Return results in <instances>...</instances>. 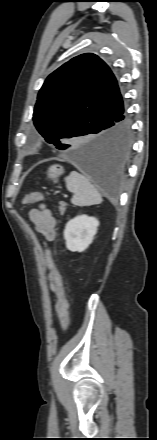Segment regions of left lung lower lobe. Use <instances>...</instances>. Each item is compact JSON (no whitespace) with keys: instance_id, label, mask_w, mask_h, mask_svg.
Wrapping results in <instances>:
<instances>
[{"instance_id":"0a47b994","label":"left lung lower lobe","mask_w":157,"mask_h":440,"mask_svg":"<svg viewBox=\"0 0 157 440\" xmlns=\"http://www.w3.org/2000/svg\"><path fill=\"white\" fill-rule=\"evenodd\" d=\"M95 134L97 137L89 144L68 145L63 150L101 189L113 193L123 176L132 144L131 121L125 107L109 116Z\"/></svg>"}]
</instances>
